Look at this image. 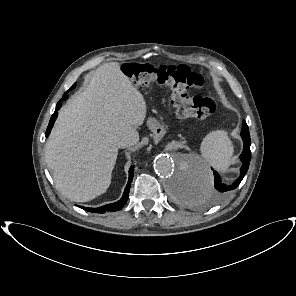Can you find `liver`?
<instances>
[{"label": "liver", "mask_w": 296, "mask_h": 296, "mask_svg": "<svg viewBox=\"0 0 296 296\" xmlns=\"http://www.w3.org/2000/svg\"><path fill=\"white\" fill-rule=\"evenodd\" d=\"M146 114L143 95L119 63L93 71L83 91L60 110L45 146L46 162L61 194L87 202L105 193L118 156L117 142L130 137L137 144L136 128Z\"/></svg>", "instance_id": "6515ba94"}]
</instances>
